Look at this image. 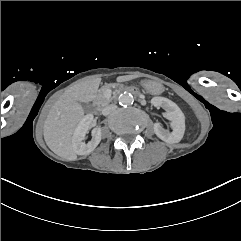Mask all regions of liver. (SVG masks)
I'll return each mask as SVG.
<instances>
[{
    "mask_svg": "<svg viewBox=\"0 0 241 241\" xmlns=\"http://www.w3.org/2000/svg\"><path fill=\"white\" fill-rule=\"evenodd\" d=\"M101 80L100 77L88 78L74 84L51 107L44 124V139L56 155L77 160L72 137L85 115L81 102L88 103L96 98Z\"/></svg>",
    "mask_w": 241,
    "mask_h": 241,
    "instance_id": "6515ba94",
    "label": "liver"
}]
</instances>
